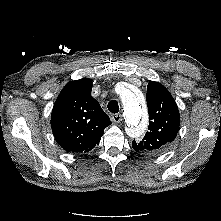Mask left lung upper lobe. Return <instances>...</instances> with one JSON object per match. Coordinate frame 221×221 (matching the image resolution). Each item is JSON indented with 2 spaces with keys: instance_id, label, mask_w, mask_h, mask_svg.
Returning <instances> with one entry per match:
<instances>
[{
  "instance_id": "1",
  "label": "left lung upper lobe",
  "mask_w": 221,
  "mask_h": 221,
  "mask_svg": "<svg viewBox=\"0 0 221 221\" xmlns=\"http://www.w3.org/2000/svg\"><path fill=\"white\" fill-rule=\"evenodd\" d=\"M149 127L140 142L133 140L137 152L159 154L174 141L179 131L180 115L177 104L169 91L160 83L150 81L147 86Z\"/></svg>"
}]
</instances>
